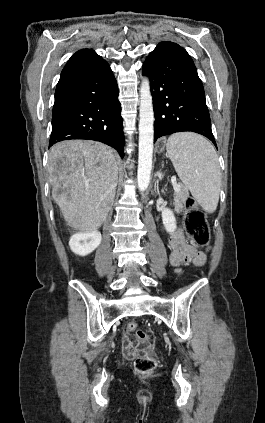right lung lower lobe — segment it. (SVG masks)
<instances>
[{
  "label": "right lung lower lobe",
  "instance_id": "98d812e1",
  "mask_svg": "<svg viewBox=\"0 0 265 423\" xmlns=\"http://www.w3.org/2000/svg\"><path fill=\"white\" fill-rule=\"evenodd\" d=\"M116 79L97 54L72 56L55 91L49 147L69 139L100 141L121 157L125 138Z\"/></svg>",
  "mask_w": 265,
  "mask_h": 423
}]
</instances>
